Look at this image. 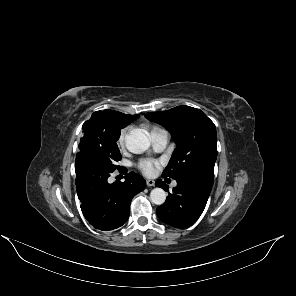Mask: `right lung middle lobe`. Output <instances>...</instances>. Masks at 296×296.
Here are the masks:
<instances>
[{"label":"right lung middle lobe","instance_id":"1","mask_svg":"<svg viewBox=\"0 0 296 296\" xmlns=\"http://www.w3.org/2000/svg\"><path fill=\"white\" fill-rule=\"evenodd\" d=\"M124 126H115L107 131L96 130L86 132L81 138L79 151L98 158L110 172L119 170L121 167L116 163L122 158L116 141L119 139L120 131Z\"/></svg>","mask_w":296,"mask_h":296}]
</instances>
